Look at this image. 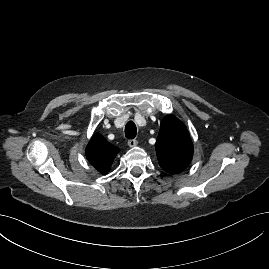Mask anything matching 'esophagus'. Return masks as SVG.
Segmentation results:
<instances>
[{"label":"esophagus","instance_id":"obj_1","mask_svg":"<svg viewBox=\"0 0 269 269\" xmlns=\"http://www.w3.org/2000/svg\"><path fill=\"white\" fill-rule=\"evenodd\" d=\"M128 145H129L130 147H135V146L138 145V141L135 140V139L128 140Z\"/></svg>","mask_w":269,"mask_h":269}]
</instances>
